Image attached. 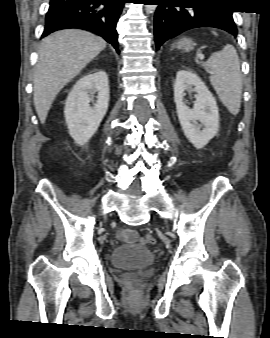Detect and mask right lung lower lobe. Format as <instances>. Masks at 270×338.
I'll return each instance as SVG.
<instances>
[{
	"label": "right lung lower lobe",
	"mask_w": 270,
	"mask_h": 338,
	"mask_svg": "<svg viewBox=\"0 0 270 338\" xmlns=\"http://www.w3.org/2000/svg\"><path fill=\"white\" fill-rule=\"evenodd\" d=\"M126 0H50L42 38L67 28L91 31L113 45L117 52L116 23Z\"/></svg>",
	"instance_id": "obj_1"
}]
</instances>
